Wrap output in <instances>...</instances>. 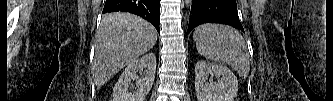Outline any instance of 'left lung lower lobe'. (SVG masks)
I'll return each mask as SVG.
<instances>
[{
	"label": "left lung lower lobe",
	"mask_w": 333,
	"mask_h": 101,
	"mask_svg": "<svg viewBox=\"0 0 333 101\" xmlns=\"http://www.w3.org/2000/svg\"><path fill=\"white\" fill-rule=\"evenodd\" d=\"M203 23L227 24L244 32L236 0H193L187 34Z\"/></svg>",
	"instance_id": "obj_1"
}]
</instances>
